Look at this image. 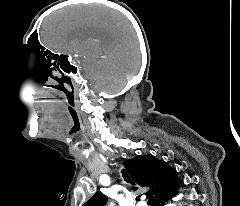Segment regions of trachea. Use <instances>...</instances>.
I'll return each mask as SVG.
<instances>
[{
    "label": "trachea",
    "mask_w": 240,
    "mask_h": 206,
    "mask_svg": "<svg viewBox=\"0 0 240 206\" xmlns=\"http://www.w3.org/2000/svg\"><path fill=\"white\" fill-rule=\"evenodd\" d=\"M122 176L127 183L134 184V182L132 181V179L130 178V176L128 175V173L124 169L122 170ZM148 204L150 206H156L154 197L149 198Z\"/></svg>",
    "instance_id": "trachea-1"
}]
</instances>
